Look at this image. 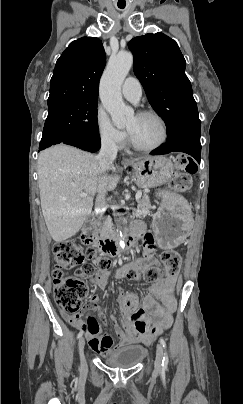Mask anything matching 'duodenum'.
Segmentation results:
<instances>
[{
	"mask_svg": "<svg viewBox=\"0 0 243 404\" xmlns=\"http://www.w3.org/2000/svg\"><path fill=\"white\" fill-rule=\"evenodd\" d=\"M140 237V233L136 229H132L125 235L123 241L127 248L133 247ZM81 240L85 244H95L98 251L108 257H117L122 251L121 244L117 239L97 240L94 230V222L88 220L82 230Z\"/></svg>",
	"mask_w": 243,
	"mask_h": 404,
	"instance_id": "obj_1",
	"label": "duodenum"
}]
</instances>
